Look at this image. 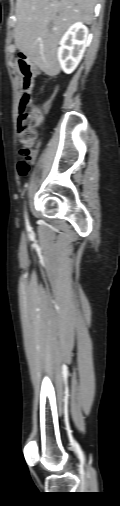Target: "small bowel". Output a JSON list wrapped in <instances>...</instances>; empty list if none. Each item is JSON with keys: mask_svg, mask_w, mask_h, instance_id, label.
I'll return each instance as SVG.
<instances>
[{"mask_svg": "<svg viewBox=\"0 0 120 506\" xmlns=\"http://www.w3.org/2000/svg\"><path fill=\"white\" fill-rule=\"evenodd\" d=\"M32 84H33V82H32ZM31 88H32V86H31ZM31 88H30V89H31ZM49 107H50V104H49L48 102L44 103V104L42 105V111H43V112H47V111L49 110ZM41 119H42V116H41V114H40L39 120L41 121Z\"/></svg>", "mask_w": 120, "mask_h": 506, "instance_id": "obj_1", "label": "small bowel"}]
</instances>
